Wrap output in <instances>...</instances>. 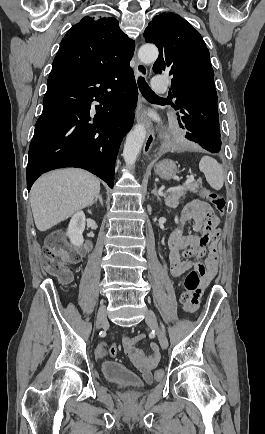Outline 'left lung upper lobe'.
<instances>
[{
    "mask_svg": "<svg viewBox=\"0 0 265 434\" xmlns=\"http://www.w3.org/2000/svg\"><path fill=\"white\" fill-rule=\"evenodd\" d=\"M144 38L159 49L153 71L173 76L170 95L176 97L180 125L220 131L214 72L200 33L178 14L162 13L149 23Z\"/></svg>",
    "mask_w": 265,
    "mask_h": 434,
    "instance_id": "left-lung-upper-lobe-1",
    "label": "left lung upper lobe"
}]
</instances>
